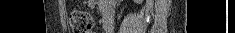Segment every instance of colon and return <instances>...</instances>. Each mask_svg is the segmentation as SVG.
Returning a JSON list of instances; mask_svg holds the SVG:
<instances>
[{
	"instance_id": "5ec220e1",
	"label": "colon",
	"mask_w": 235,
	"mask_h": 33,
	"mask_svg": "<svg viewBox=\"0 0 235 33\" xmlns=\"http://www.w3.org/2000/svg\"><path fill=\"white\" fill-rule=\"evenodd\" d=\"M69 23L73 33H91L93 19L85 11L75 10L69 16Z\"/></svg>"
}]
</instances>
